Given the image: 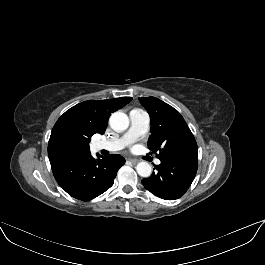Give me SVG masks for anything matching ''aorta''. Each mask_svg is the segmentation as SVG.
Returning a JSON list of instances; mask_svg holds the SVG:
<instances>
[{
  "label": "aorta",
  "mask_w": 265,
  "mask_h": 265,
  "mask_svg": "<svg viewBox=\"0 0 265 265\" xmlns=\"http://www.w3.org/2000/svg\"><path fill=\"white\" fill-rule=\"evenodd\" d=\"M109 124L115 131H124L129 126L128 116L120 111L112 113L109 119ZM136 171L141 177H149L152 173V167L148 162H139L136 166Z\"/></svg>",
  "instance_id": "obj_1"
}]
</instances>
